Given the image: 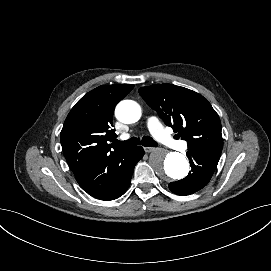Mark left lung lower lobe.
<instances>
[{"instance_id":"1","label":"left lung lower lobe","mask_w":271,"mask_h":271,"mask_svg":"<svg viewBox=\"0 0 271 271\" xmlns=\"http://www.w3.org/2000/svg\"><path fill=\"white\" fill-rule=\"evenodd\" d=\"M191 171L182 180L171 182L169 189L181 196L193 194L208 184L217 167L220 155H214L207 149L188 151Z\"/></svg>"}]
</instances>
